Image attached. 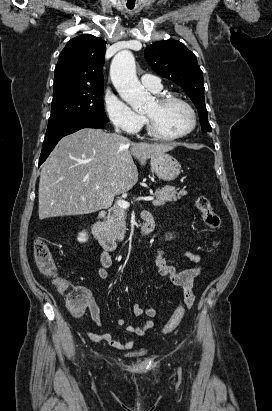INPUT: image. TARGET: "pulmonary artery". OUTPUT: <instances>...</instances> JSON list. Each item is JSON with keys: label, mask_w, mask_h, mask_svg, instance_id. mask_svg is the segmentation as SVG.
<instances>
[{"label": "pulmonary artery", "mask_w": 272, "mask_h": 411, "mask_svg": "<svg viewBox=\"0 0 272 411\" xmlns=\"http://www.w3.org/2000/svg\"><path fill=\"white\" fill-rule=\"evenodd\" d=\"M142 84L152 92H158L162 89L160 79L157 76L145 74L141 76Z\"/></svg>", "instance_id": "1"}]
</instances>
